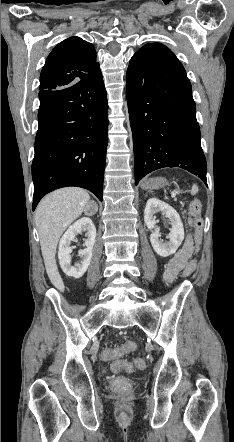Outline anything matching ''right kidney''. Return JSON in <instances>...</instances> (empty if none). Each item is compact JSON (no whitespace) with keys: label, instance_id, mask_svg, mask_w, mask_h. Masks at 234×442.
<instances>
[{"label":"right kidney","instance_id":"right-kidney-1","mask_svg":"<svg viewBox=\"0 0 234 442\" xmlns=\"http://www.w3.org/2000/svg\"><path fill=\"white\" fill-rule=\"evenodd\" d=\"M81 231L87 232V239L84 243L86 248L79 250L78 252V255L82 258L80 263H76L74 266H72L70 256L72 253V247H70V244L71 241L75 240V236ZM95 238L96 228L89 217L80 218L67 229L60 239L58 251L59 263L66 275L75 279H79L84 275L91 262Z\"/></svg>","mask_w":234,"mask_h":442}]
</instances>
